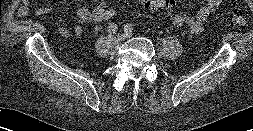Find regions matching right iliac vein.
Masks as SVG:
<instances>
[{
  "label": "right iliac vein",
  "instance_id": "obj_1",
  "mask_svg": "<svg viewBox=\"0 0 253 131\" xmlns=\"http://www.w3.org/2000/svg\"><path fill=\"white\" fill-rule=\"evenodd\" d=\"M124 39H125V35H124V34H119V35H118V41H119V42L124 41Z\"/></svg>",
  "mask_w": 253,
  "mask_h": 131
}]
</instances>
